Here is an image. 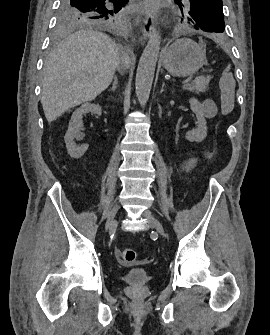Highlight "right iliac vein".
<instances>
[{
  "instance_id": "63e3f726",
  "label": "right iliac vein",
  "mask_w": 270,
  "mask_h": 335,
  "mask_svg": "<svg viewBox=\"0 0 270 335\" xmlns=\"http://www.w3.org/2000/svg\"><path fill=\"white\" fill-rule=\"evenodd\" d=\"M118 209L119 205L118 203H115L108 214V218L105 224V230L114 231L116 229L117 224L115 221V215L117 214Z\"/></svg>"
}]
</instances>
